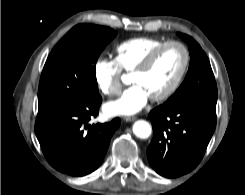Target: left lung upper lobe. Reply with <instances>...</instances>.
Wrapping results in <instances>:
<instances>
[{
    "label": "left lung upper lobe",
    "mask_w": 245,
    "mask_h": 195,
    "mask_svg": "<svg viewBox=\"0 0 245 195\" xmlns=\"http://www.w3.org/2000/svg\"><path fill=\"white\" fill-rule=\"evenodd\" d=\"M178 36L189 46L190 66L183 83L166 103L216 107L217 86L208 57L192 37Z\"/></svg>",
    "instance_id": "1"
}]
</instances>
